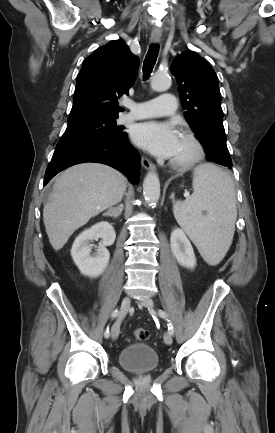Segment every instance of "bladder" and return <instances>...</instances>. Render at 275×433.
Returning a JSON list of instances; mask_svg holds the SVG:
<instances>
[{"mask_svg":"<svg viewBox=\"0 0 275 433\" xmlns=\"http://www.w3.org/2000/svg\"><path fill=\"white\" fill-rule=\"evenodd\" d=\"M118 363L128 372L141 374L157 370L159 356L149 344L131 343L119 352Z\"/></svg>","mask_w":275,"mask_h":433,"instance_id":"obj_1","label":"bladder"}]
</instances>
